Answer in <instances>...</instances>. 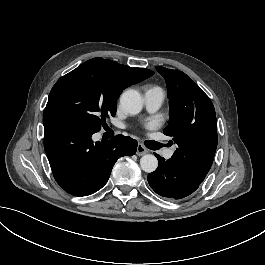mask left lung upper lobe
Segmentation results:
<instances>
[{
    "label": "left lung upper lobe",
    "instance_id": "obj_1",
    "mask_svg": "<svg viewBox=\"0 0 265 265\" xmlns=\"http://www.w3.org/2000/svg\"><path fill=\"white\" fill-rule=\"evenodd\" d=\"M156 69L168 88L170 121L164 134L172 136L178 146L171 159L204 180L218 142L213 104L185 73L164 67Z\"/></svg>",
    "mask_w": 265,
    "mask_h": 265
}]
</instances>
